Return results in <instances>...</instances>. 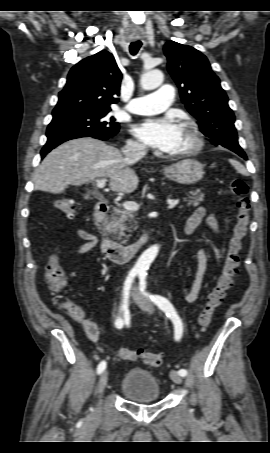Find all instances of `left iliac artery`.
<instances>
[{
  "instance_id": "44dca946",
  "label": "left iliac artery",
  "mask_w": 270,
  "mask_h": 453,
  "mask_svg": "<svg viewBox=\"0 0 270 453\" xmlns=\"http://www.w3.org/2000/svg\"><path fill=\"white\" fill-rule=\"evenodd\" d=\"M139 279H140V290L141 292L150 299L151 302H153L159 309H161L167 317H169L172 322L174 323L175 326V339L179 340L182 336L183 332V324L178 316L175 308L173 305L170 303L168 299L165 297H162L160 295H152L147 292H145L146 289V273H139ZM178 374L181 376H186L187 375V370L185 369H180L178 371Z\"/></svg>"
}]
</instances>
